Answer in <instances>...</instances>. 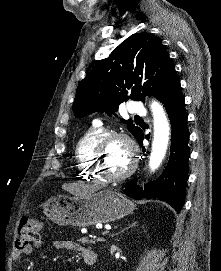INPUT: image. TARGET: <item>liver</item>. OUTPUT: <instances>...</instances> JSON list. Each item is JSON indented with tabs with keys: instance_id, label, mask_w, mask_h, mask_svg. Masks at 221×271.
<instances>
[{
	"instance_id": "liver-1",
	"label": "liver",
	"mask_w": 221,
	"mask_h": 271,
	"mask_svg": "<svg viewBox=\"0 0 221 271\" xmlns=\"http://www.w3.org/2000/svg\"><path fill=\"white\" fill-rule=\"evenodd\" d=\"M70 191L71 193H76V195H80V193H89V191H86V187L80 189V191H76L75 187H71Z\"/></svg>"
}]
</instances>
